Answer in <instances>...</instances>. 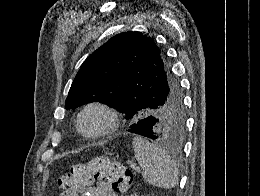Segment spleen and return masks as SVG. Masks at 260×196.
<instances>
[{
  "mask_svg": "<svg viewBox=\"0 0 260 196\" xmlns=\"http://www.w3.org/2000/svg\"><path fill=\"white\" fill-rule=\"evenodd\" d=\"M136 162L144 170L143 178L157 188H174L178 182V168L163 148L151 144L141 136L132 142Z\"/></svg>",
  "mask_w": 260,
  "mask_h": 196,
  "instance_id": "1",
  "label": "spleen"
}]
</instances>
